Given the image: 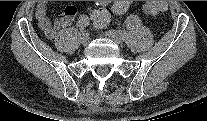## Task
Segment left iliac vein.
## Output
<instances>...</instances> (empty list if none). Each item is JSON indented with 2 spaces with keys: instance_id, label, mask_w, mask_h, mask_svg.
<instances>
[{
  "instance_id": "4c4485c4",
  "label": "left iliac vein",
  "mask_w": 207,
  "mask_h": 121,
  "mask_svg": "<svg viewBox=\"0 0 207 121\" xmlns=\"http://www.w3.org/2000/svg\"><path fill=\"white\" fill-rule=\"evenodd\" d=\"M106 36L112 39L116 44H122L125 40L123 33L116 30L107 31Z\"/></svg>"
}]
</instances>
